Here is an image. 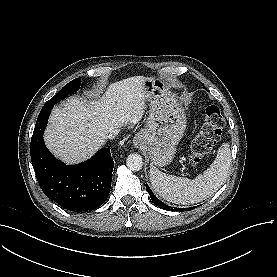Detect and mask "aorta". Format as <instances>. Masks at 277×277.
I'll return each instance as SVG.
<instances>
[{"instance_id": "aorta-1", "label": "aorta", "mask_w": 277, "mask_h": 277, "mask_svg": "<svg viewBox=\"0 0 277 277\" xmlns=\"http://www.w3.org/2000/svg\"><path fill=\"white\" fill-rule=\"evenodd\" d=\"M126 165L131 171H139L143 166V158L137 153H132L127 157Z\"/></svg>"}]
</instances>
